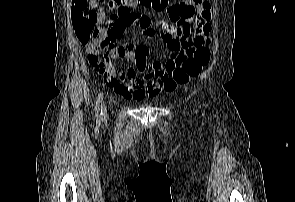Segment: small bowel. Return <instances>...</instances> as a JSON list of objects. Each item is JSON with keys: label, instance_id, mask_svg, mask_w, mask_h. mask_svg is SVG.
Listing matches in <instances>:
<instances>
[{"label": "small bowel", "instance_id": "obj_1", "mask_svg": "<svg viewBox=\"0 0 295 202\" xmlns=\"http://www.w3.org/2000/svg\"><path fill=\"white\" fill-rule=\"evenodd\" d=\"M72 8L95 24H101L107 19L106 13L97 9V0H73ZM155 9L166 12L160 30L164 44L162 53L155 54L149 46H138L130 39H126L121 47L115 46V39L133 25L140 26L146 39L155 37L157 30L150 18L139 11L132 12L127 20L115 19L112 26L100 28L101 35L108 38L105 47H86L88 62L96 73L116 93L128 99L140 100L145 96L156 95L162 89L167 65L175 63L182 51L202 46L204 37L211 31L209 0H180L177 4ZM116 58L127 59L134 66L123 74L117 73L113 69V59Z\"/></svg>", "mask_w": 295, "mask_h": 202}]
</instances>
